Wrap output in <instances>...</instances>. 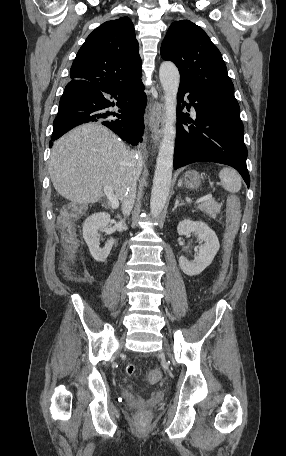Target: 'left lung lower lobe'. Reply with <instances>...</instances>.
Masks as SVG:
<instances>
[{
	"instance_id": "1",
	"label": "left lung lower lobe",
	"mask_w": 286,
	"mask_h": 456,
	"mask_svg": "<svg viewBox=\"0 0 286 456\" xmlns=\"http://www.w3.org/2000/svg\"><path fill=\"white\" fill-rule=\"evenodd\" d=\"M186 92L190 93L188 99L195 108L197 118L191 120L188 113H182L180 105L177 107L174 168L203 161L226 164L235 168L249 187L240 108L197 92L183 83L179 86L178 103L183 101ZM187 110H190V104ZM190 122L195 126H183Z\"/></svg>"
}]
</instances>
